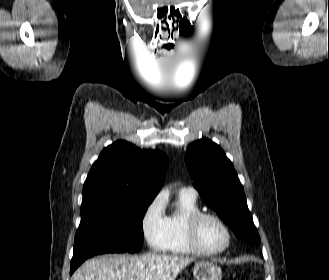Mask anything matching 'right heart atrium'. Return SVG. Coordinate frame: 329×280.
Returning a JSON list of instances; mask_svg holds the SVG:
<instances>
[{
	"instance_id": "1",
	"label": "right heart atrium",
	"mask_w": 329,
	"mask_h": 280,
	"mask_svg": "<svg viewBox=\"0 0 329 280\" xmlns=\"http://www.w3.org/2000/svg\"><path fill=\"white\" fill-rule=\"evenodd\" d=\"M140 227L148 246L153 250H162L167 232V216L163 195L155 196L145 207Z\"/></svg>"
}]
</instances>
